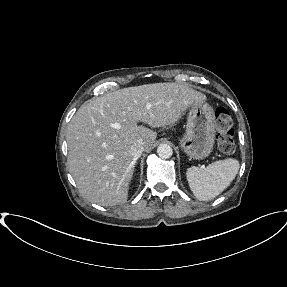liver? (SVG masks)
<instances>
[{"instance_id": "6515ba94", "label": "liver", "mask_w": 287, "mask_h": 287, "mask_svg": "<svg viewBox=\"0 0 287 287\" xmlns=\"http://www.w3.org/2000/svg\"><path fill=\"white\" fill-rule=\"evenodd\" d=\"M206 96L186 83L144 84L116 90L84 103L67 126L68 166L80 194L102 206L124 204L136 160L130 148L151 149L150 127L175 124Z\"/></svg>"}]
</instances>
